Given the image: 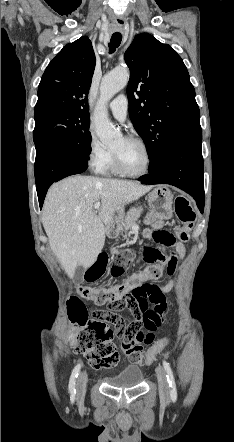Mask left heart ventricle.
<instances>
[{
  "label": "left heart ventricle",
  "mask_w": 234,
  "mask_h": 442,
  "mask_svg": "<svg viewBox=\"0 0 234 442\" xmlns=\"http://www.w3.org/2000/svg\"><path fill=\"white\" fill-rule=\"evenodd\" d=\"M120 157L123 167L129 172H140L144 169L146 156L143 148L134 142L121 138L112 148Z\"/></svg>",
  "instance_id": "1"
}]
</instances>
